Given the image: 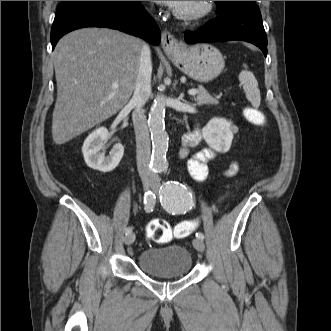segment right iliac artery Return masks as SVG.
Returning <instances> with one entry per match:
<instances>
[{
    "instance_id": "1",
    "label": "right iliac artery",
    "mask_w": 331,
    "mask_h": 331,
    "mask_svg": "<svg viewBox=\"0 0 331 331\" xmlns=\"http://www.w3.org/2000/svg\"><path fill=\"white\" fill-rule=\"evenodd\" d=\"M156 203V197L155 194H153L151 191H148L144 195V204H145V211L146 212H151L153 211V208ZM132 232V229L130 227H127L125 230V234L128 235Z\"/></svg>"
}]
</instances>
